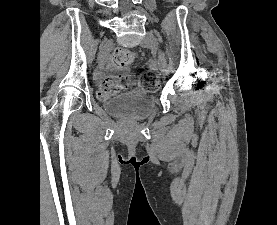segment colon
<instances>
[{
    "instance_id": "5ec220e1",
    "label": "colon",
    "mask_w": 277,
    "mask_h": 225,
    "mask_svg": "<svg viewBox=\"0 0 277 225\" xmlns=\"http://www.w3.org/2000/svg\"><path fill=\"white\" fill-rule=\"evenodd\" d=\"M136 58L137 53L135 51L118 49L114 52L111 63L114 67L123 68L132 64ZM133 84L134 81L131 77H109L100 84L98 94L102 98H107L118 94ZM139 84L148 92L156 91L159 87V73L152 69L143 71L139 76Z\"/></svg>"
}]
</instances>
